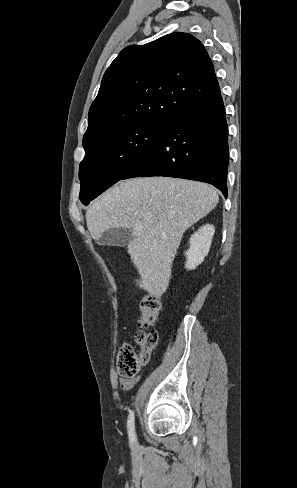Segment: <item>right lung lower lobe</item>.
<instances>
[{"mask_svg":"<svg viewBox=\"0 0 297 488\" xmlns=\"http://www.w3.org/2000/svg\"><path fill=\"white\" fill-rule=\"evenodd\" d=\"M227 168L228 125L219 93L172 120L122 179L167 176L202 181L226 198Z\"/></svg>","mask_w":297,"mask_h":488,"instance_id":"right-lung-lower-lobe-1","label":"right lung lower lobe"}]
</instances>
